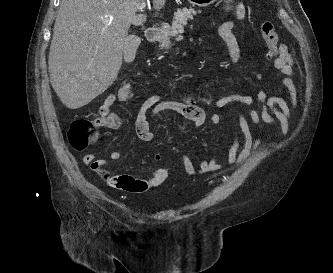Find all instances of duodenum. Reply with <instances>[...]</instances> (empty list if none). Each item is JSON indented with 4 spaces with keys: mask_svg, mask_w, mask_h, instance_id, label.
<instances>
[{
    "mask_svg": "<svg viewBox=\"0 0 333 273\" xmlns=\"http://www.w3.org/2000/svg\"><path fill=\"white\" fill-rule=\"evenodd\" d=\"M161 30L162 28L159 26L149 27L146 31L147 38L151 41H156Z\"/></svg>",
    "mask_w": 333,
    "mask_h": 273,
    "instance_id": "410a0bca",
    "label": "duodenum"
}]
</instances>
